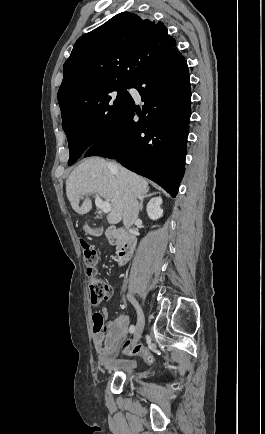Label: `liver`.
I'll return each instance as SVG.
<instances>
[{"mask_svg":"<svg viewBox=\"0 0 265 434\" xmlns=\"http://www.w3.org/2000/svg\"><path fill=\"white\" fill-rule=\"evenodd\" d=\"M119 174H122L126 180L128 190H121ZM127 192H132L134 196L147 194L149 192L147 180L125 170L119 164L106 162L103 158H86L66 180L67 198L77 214H88L92 208L89 198L83 202L82 206H79L82 196L99 194L101 198L111 202L112 210L107 216L109 224L121 222Z\"/></svg>","mask_w":265,"mask_h":434,"instance_id":"liver-1","label":"liver"}]
</instances>
